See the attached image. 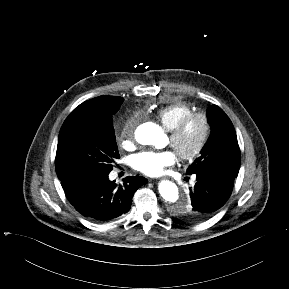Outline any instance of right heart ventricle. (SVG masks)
I'll use <instances>...</instances> for the list:
<instances>
[{
  "instance_id": "obj_1",
  "label": "right heart ventricle",
  "mask_w": 289,
  "mask_h": 289,
  "mask_svg": "<svg viewBox=\"0 0 289 289\" xmlns=\"http://www.w3.org/2000/svg\"><path fill=\"white\" fill-rule=\"evenodd\" d=\"M192 112L193 109L188 104L174 103L161 107L156 116L166 129L171 130L184 116Z\"/></svg>"
}]
</instances>
